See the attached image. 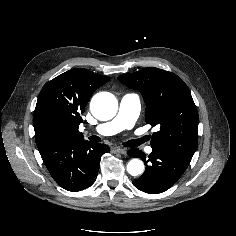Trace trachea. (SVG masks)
<instances>
[{
  "mask_svg": "<svg viewBox=\"0 0 236 236\" xmlns=\"http://www.w3.org/2000/svg\"><path fill=\"white\" fill-rule=\"evenodd\" d=\"M90 139L94 142H100L101 139L98 136H91ZM143 143V139H134V140H129L125 143H123V145L127 146V147H136L139 146Z\"/></svg>",
  "mask_w": 236,
  "mask_h": 236,
  "instance_id": "1",
  "label": "trachea"
}]
</instances>
